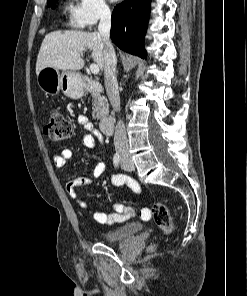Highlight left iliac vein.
I'll return each instance as SVG.
<instances>
[{
  "label": "left iliac vein",
  "instance_id": "left-iliac-vein-1",
  "mask_svg": "<svg viewBox=\"0 0 247 296\" xmlns=\"http://www.w3.org/2000/svg\"><path fill=\"white\" fill-rule=\"evenodd\" d=\"M121 167L125 171H133L134 170V164L131 159L125 158L121 162Z\"/></svg>",
  "mask_w": 247,
  "mask_h": 296
}]
</instances>
